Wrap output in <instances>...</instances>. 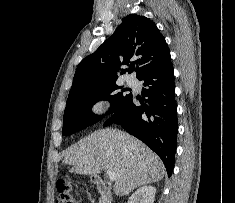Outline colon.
<instances>
[{
    "label": "colon",
    "mask_w": 235,
    "mask_h": 203,
    "mask_svg": "<svg viewBox=\"0 0 235 203\" xmlns=\"http://www.w3.org/2000/svg\"><path fill=\"white\" fill-rule=\"evenodd\" d=\"M58 198L56 203H77L72 184L67 179H61L57 183Z\"/></svg>",
    "instance_id": "obj_1"
}]
</instances>
